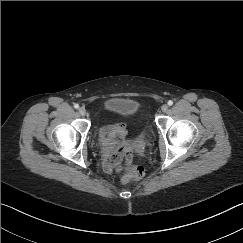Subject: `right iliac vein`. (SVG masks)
Segmentation results:
<instances>
[{"label":"right iliac vein","instance_id":"right-iliac-vein-1","mask_svg":"<svg viewBox=\"0 0 243 243\" xmlns=\"http://www.w3.org/2000/svg\"><path fill=\"white\" fill-rule=\"evenodd\" d=\"M79 114L81 115V116H85V114H86V110H85V108H83V107H81V108H79Z\"/></svg>","mask_w":243,"mask_h":243}]
</instances>
